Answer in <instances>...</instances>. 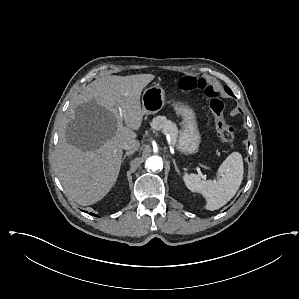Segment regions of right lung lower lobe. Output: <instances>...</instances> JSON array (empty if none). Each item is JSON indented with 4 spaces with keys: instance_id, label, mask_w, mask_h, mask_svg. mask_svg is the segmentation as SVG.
Masks as SVG:
<instances>
[{
    "instance_id": "1",
    "label": "right lung lower lobe",
    "mask_w": 299,
    "mask_h": 299,
    "mask_svg": "<svg viewBox=\"0 0 299 299\" xmlns=\"http://www.w3.org/2000/svg\"><path fill=\"white\" fill-rule=\"evenodd\" d=\"M90 214H92V215H94V216H97V215H95V214H93V213H90Z\"/></svg>"
}]
</instances>
